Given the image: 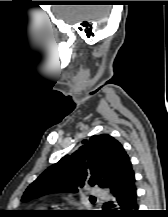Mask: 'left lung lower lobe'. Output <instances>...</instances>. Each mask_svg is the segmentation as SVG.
I'll use <instances>...</instances> for the list:
<instances>
[{
	"label": "left lung lower lobe",
	"instance_id": "left-lung-lower-lobe-1",
	"mask_svg": "<svg viewBox=\"0 0 168 217\" xmlns=\"http://www.w3.org/2000/svg\"><path fill=\"white\" fill-rule=\"evenodd\" d=\"M132 168V166H131ZM115 210L106 212L114 217H136L137 211V189L135 186V177L133 170L129 172L126 181L118 188L110 191ZM112 204V202L110 203Z\"/></svg>",
	"mask_w": 168,
	"mask_h": 217
}]
</instances>
